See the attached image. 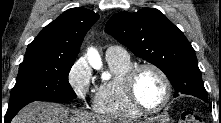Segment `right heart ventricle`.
Returning a JSON list of instances; mask_svg holds the SVG:
<instances>
[{
    "label": "right heart ventricle",
    "instance_id": "e07e8e85",
    "mask_svg": "<svg viewBox=\"0 0 221 123\" xmlns=\"http://www.w3.org/2000/svg\"><path fill=\"white\" fill-rule=\"evenodd\" d=\"M113 77L102 82L96 89L93 99L94 111L110 119H134L141 116L127 100L123 89V77L133 67L130 59L107 60Z\"/></svg>",
    "mask_w": 221,
    "mask_h": 123
}]
</instances>
